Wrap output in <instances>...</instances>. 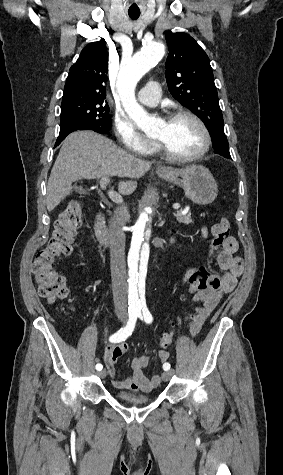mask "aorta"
<instances>
[{
    "label": "aorta",
    "instance_id": "obj_1",
    "mask_svg": "<svg viewBox=\"0 0 283 475\" xmlns=\"http://www.w3.org/2000/svg\"><path fill=\"white\" fill-rule=\"evenodd\" d=\"M165 55V45L151 42L121 63L117 91L128 116L145 133H155L160 121L149 116L135 98L138 81ZM162 192L157 185L149 186L144 193L136 220L130 228L131 246L128 253L129 290L128 303L131 308L141 309L146 305L145 282L150 256V239L153 227L160 218Z\"/></svg>",
    "mask_w": 283,
    "mask_h": 475
}]
</instances>
